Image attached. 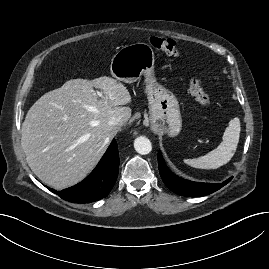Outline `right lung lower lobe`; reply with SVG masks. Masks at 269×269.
Returning a JSON list of instances; mask_svg holds the SVG:
<instances>
[{"label": "right lung lower lobe", "instance_id": "1", "mask_svg": "<svg viewBox=\"0 0 269 269\" xmlns=\"http://www.w3.org/2000/svg\"><path fill=\"white\" fill-rule=\"evenodd\" d=\"M118 171L119 153L114 139L98 165L82 182L61 191L47 188L73 203L94 202L109 194L118 177Z\"/></svg>", "mask_w": 269, "mask_h": 269}]
</instances>
